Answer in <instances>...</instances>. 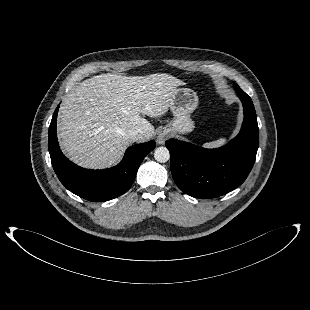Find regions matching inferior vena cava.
<instances>
[{"label": "inferior vena cava", "mask_w": 310, "mask_h": 310, "mask_svg": "<svg viewBox=\"0 0 310 310\" xmlns=\"http://www.w3.org/2000/svg\"><path fill=\"white\" fill-rule=\"evenodd\" d=\"M142 131L132 130L129 132V137L132 141H137L142 137Z\"/></svg>", "instance_id": "inferior-vena-cava-1"}]
</instances>
